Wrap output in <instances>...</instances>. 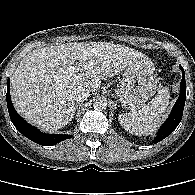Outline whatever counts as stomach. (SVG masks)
<instances>
[{
	"mask_svg": "<svg viewBox=\"0 0 195 195\" xmlns=\"http://www.w3.org/2000/svg\"><path fill=\"white\" fill-rule=\"evenodd\" d=\"M154 71V64L147 56L125 69L116 92L123 109L134 112L156 93L159 79Z\"/></svg>",
	"mask_w": 195,
	"mask_h": 195,
	"instance_id": "1",
	"label": "stomach"
}]
</instances>
